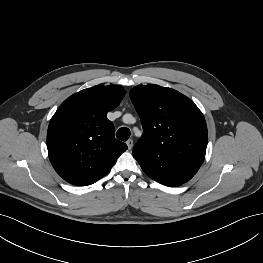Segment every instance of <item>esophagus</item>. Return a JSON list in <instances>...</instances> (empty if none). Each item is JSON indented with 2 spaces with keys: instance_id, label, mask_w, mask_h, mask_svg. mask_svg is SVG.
Listing matches in <instances>:
<instances>
[{
  "instance_id": "esophagus-1",
  "label": "esophagus",
  "mask_w": 263,
  "mask_h": 263,
  "mask_svg": "<svg viewBox=\"0 0 263 263\" xmlns=\"http://www.w3.org/2000/svg\"><path fill=\"white\" fill-rule=\"evenodd\" d=\"M126 144H127V146H128V149L131 150L132 147H133V140H132V139L127 140V141H126Z\"/></svg>"
}]
</instances>
